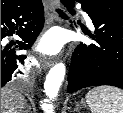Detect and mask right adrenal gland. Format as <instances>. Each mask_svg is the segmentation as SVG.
<instances>
[{
  "label": "right adrenal gland",
  "mask_w": 123,
  "mask_h": 113,
  "mask_svg": "<svg viewBox=\"0 0 123 113\" xmlns=\"http://www.w3.org/2000/svg\"><path fill=\"white\" fill-rule=\"evenodd\" d=\"M26 107H28V106H26ZM29 108V110H30V107H28ZM27 112V111H26ZM26 112H24V113H26Z\"/></svg>",
  "instance_id": "obj_1"
}]
</instances>
